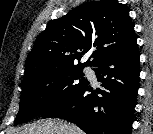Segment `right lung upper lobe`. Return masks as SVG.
Listing matches in <instances>:
<instances>
[{
  "mask_svg": "<svg viewBox=\"0 0 153 134\" xmlns=\"http://www.w3.org/2000/svg\"><path fill=\"white\" fill-rule=\"evenodd\" d=\"M134 25L117 0L88 2L52 20L38 35L27 56L24 79L68 66H96L100 61L136 44ZM96 47L92 61L82 56ZM77 61L79 63L76 65Z\"/></svg>",
  "mask_w": 153,
  "mask_h": 134,
  "instance_id": "cb5924a9",
  "label": "right lung upper lobe"
}]
</instances>
